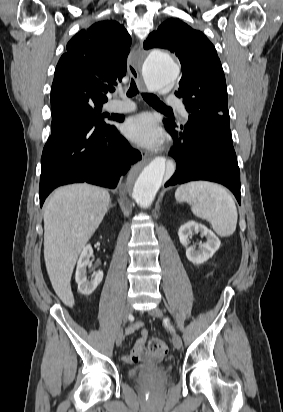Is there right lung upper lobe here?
I'll list each match as a JSON object with an SVG mask.
<instances>
[{
  "label": "right lung upper lobe",
  "instance_id": "obj_1",
  "mask_svg": "<svg viewBox=\"0 0 283 412\" xmlns=\"http://www.w3.org/2000/svg\"><path fill=\"white\" fill-rule=\"evenodd\" d=\"M130 45V35L116 21H101L77 33L55 70L52 115L81 101L105 103L107 92L126 74Z\"/></svg>",
  "mask_w": 283,
  "mask_h": 412
}]
</instances>
